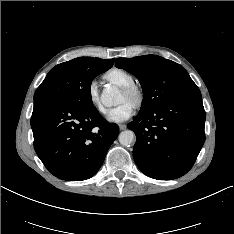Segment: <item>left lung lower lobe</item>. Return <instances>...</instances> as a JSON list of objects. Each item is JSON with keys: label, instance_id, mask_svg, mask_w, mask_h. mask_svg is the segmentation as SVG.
<instances>
[{"label": "left lung lower lobe", "instance_id": "obj_1", "mask_svg": "<svg viewBox=\"0 0 234 234\" xmlns=\"http://www.w3.org/2000/svg\"><path fill=\"white\" fill-rule=\"evenodd\" d=\"M206 113L198 87L138 114L128 128L136 134L133 157L146 176L176 179L193 166L205 141Z\"/></svg>", "mask_w": 234, "mask_h": 234}]
</instances>
